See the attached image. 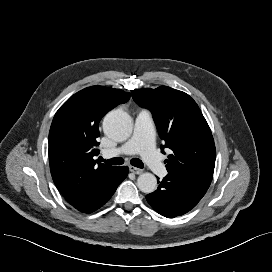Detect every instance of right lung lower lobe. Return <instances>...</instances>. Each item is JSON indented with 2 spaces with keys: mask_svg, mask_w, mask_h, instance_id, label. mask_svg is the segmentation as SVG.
I'll return each mask as SVG.
<instances>
[{
  "mask_svg": "<svg viewBox=\"0 0 272 272\" xmlns=\"http://www.w3.org/2000/svg\"><path fill=\"white\" fill-rule=\"evenodd\" d=\"M128 168L118 167L117 172L104 184L85 197L69 202L74 208L84 213H91L103 206L114 194L118 185L126 178Z\"/></svg>",
  "mask_w": 272,
  "mask_h": 272,
  "instance_id": "98d812e1",
  "label": "right lung lower lobe"
}]
</instances>
